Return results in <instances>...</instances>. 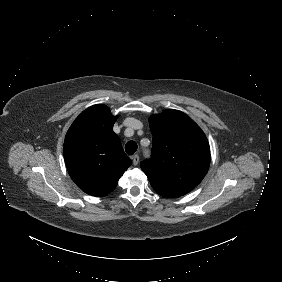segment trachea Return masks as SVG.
<instances>
[{"mask_svg": "<svg viewBox=\"0 0 282 282\" xmlns=\"http://www.w3.org/2000/svg\"><path fill=\"white\" fill-rule=\"evenodd\" d=\"M137 150V143L134 141H129L125 145V151L128 155H133Z\"/></svg>", "mask_w": 282, "mask_h": 282, "instance_id": "obj_1", "label": "trachea"}]
</instances>
